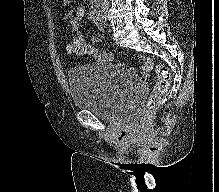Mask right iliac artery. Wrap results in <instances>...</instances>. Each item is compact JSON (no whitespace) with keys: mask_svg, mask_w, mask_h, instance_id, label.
<instances>
[{"mask_svg":"<svg viewBox=\"0 0 219 192\" xmlns=\"http://www.w3.org/2000/svg\"><path fill=\"white\" fill-rule=\"evenodd\" d=\"M96 20H98V21L103 20V11L99 10L96 12Z\"/></svg>","mask_w":219,"mask_h":192,"instance_id":"1","label":"right iliac artery"}]
</instances>
